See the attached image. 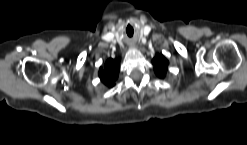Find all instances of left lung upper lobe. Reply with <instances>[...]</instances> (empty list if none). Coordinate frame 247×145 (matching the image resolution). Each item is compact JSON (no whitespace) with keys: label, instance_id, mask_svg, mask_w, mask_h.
<instances>
[{"label":"left lung upper lobe","instance_id":"5c2ea615","mask_svg":"<svg viewBox=\"0 0 247 145\" xmlns=\"http://www.w3.org/2000/svg\"><path fill=\"white\" fill-rule=\"evenodd\" d=\"M156 74L163 78L167 71L168 60L163 55H157L152 61Z\"/></svg>","mask_w":247,"mask_h":145}]
</instances>
